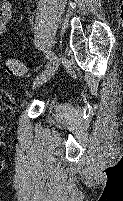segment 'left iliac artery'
<instances>
[{
    "mask_svg": "<svg viewBox=\"0 0 123 201\" xmlns=\"http://www.w3.org/2000/svg\"><path fill=\"white\" fill-rule=\"evenodd\" d=\"M46 55H47V57H48L51 61H53V60L56 59L55 54H54L53 52H51V51H48V52L46 53Z\"/></svg>",
    "mask_w": 123,
    "mask_h": 201,
    "instance_id": "44dca946",
    "label": "left iliac artery"
}]
</instances>
